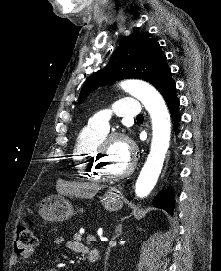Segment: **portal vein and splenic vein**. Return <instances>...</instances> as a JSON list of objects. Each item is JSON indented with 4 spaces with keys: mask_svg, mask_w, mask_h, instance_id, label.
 Here are the masks:
<instances>
[{
    "mask_svg": "<svg viewBox=\"0 0 221 271\" xmlns=\"http://www.w3.org/2000/svg\"><path fill=\"white\" fill-rule=\"evenodd\" d=\"M95 234H90L88 237H87V242H95Z\"/></svg>",
    "mask_w": 221,
    "mask_h": 271,
    "instance_id": "18ae733b",
    "label": "portal vein and splenic vein"
}]
</instances>
